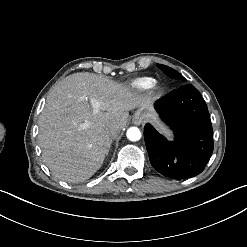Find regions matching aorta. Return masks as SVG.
<instances>
[{
    "label": "aorta",
    "mask_w": 247,
    "mask_h": 247,
    "mask_svg": "<svg viewBox=\"0 0 247 247\" xmlns=\"http://www.w3.org/2000/svg\"><path fill=\"white\" fill-rule=\"evenodd\" d=\"M126 135L130 141H138L141 138V132L137 127L129 128Z\"/></svg>",
    "instance_id": "762f6f07"
}]
</instances>
